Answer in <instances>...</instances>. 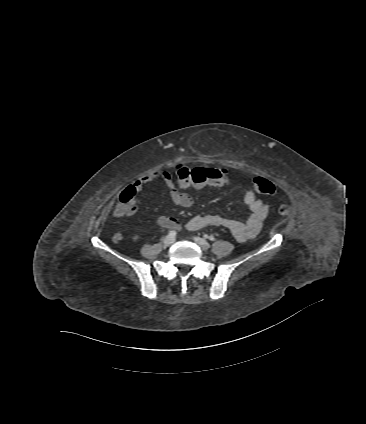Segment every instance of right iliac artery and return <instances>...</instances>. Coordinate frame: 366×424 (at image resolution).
I'll list each match as a JSON object with an SVG mask.
<instances>
[{"instance_id":"right-iliac-artery-1","label":"right iliac artery","mask_w":366,"mask_h":424,"mask_svg":"<svg viewBox=\"0 0 366 424\" xmlns=\"http://www.w3.org/2000/svg\"><path fill=\"white\" fill-rule=\"evenodd\" d=\"M169 235L174 237L176 235V232L172 230V231L169 232Z\"/></svg>"}]
</instances>
